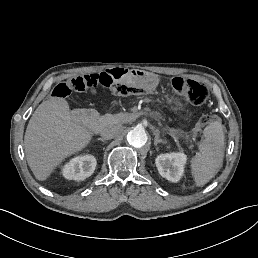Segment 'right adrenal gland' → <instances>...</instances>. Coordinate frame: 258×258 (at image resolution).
Masks as SVG:
<instances>
[{
    "label": "right adrenal gland",
    "mask_w": 258,
    "mask_h": 258,
    "mask_svg": "<svg viewBox=\"0 0 258 258\" xmlns=\"http://www.w3.org/2000/svg\"><path fill=\"white\" fill-rule=\"evenodd\" d=\"M99 141H103L105 143L104 138H98Z\"/></svg>",
    "instance_id": "1"
}]
</instances>
